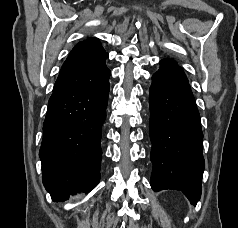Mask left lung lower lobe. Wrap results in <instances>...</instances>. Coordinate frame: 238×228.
<instances>
[{
    "mask_svg": "<svg viewBox=\"0 0 238 228\" xmlns=\"http://www.w3.org/2000/svg\"><path fill=\"white\" fill-rule=\"evenodd\" d=\"M154 191H182L196 205L204 170L203 133L188 79L170 59L160 61L149 89Z\"/></svg>",
    "mask_w": 238,
    "mask_h": 228,
    "instance_id": "obj_1",
    "label": "left lung lower lobe"
}]
</instances>
